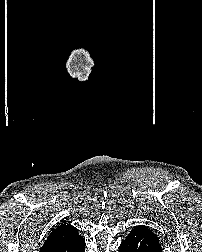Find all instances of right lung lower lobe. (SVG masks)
Listing matches in <instances>:
<instances>
[{
    "mask_svg": "<svg viewBox=\"0 0 202 252\" xmlns=\"http://www.w3.org/2000/svg\"><path fill=\"white\" fill-rule=\"evenodd\" d=\"M85 249V242L82 244V246L77 250V252H84Z\"/></svg>",
    "mask_w": 202,
    "mask_h": 252,
    "instance_id": "98d812e1",
    "label": "right lung lower lobe"
}]
</instances>
